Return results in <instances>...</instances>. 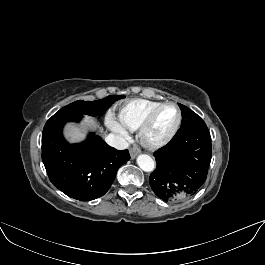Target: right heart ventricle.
<instances>
[{
    "instance_id": "right-heart-ventricle-1",
    "label": "right heart ventricle",
    "mask_w": 265,
    "mask_h": 265,
    "mask_svg": "<svg viewBox=\"0 0 265 265\" xmlns=\"http://www.w3.org/2000/svg\"><path fill=\"white\" fill-rule=\"evenodd\" d=\"M158 104L160 102L143 98L117 104L115 112L119 124L125 130L136 131L146 114Z\"/></svg>"
}]
</instances>
